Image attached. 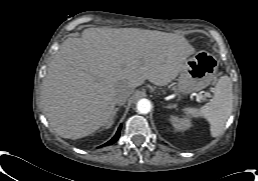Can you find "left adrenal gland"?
<instances>
[{
  "mask_svg": "<svg viewBox=\"0 0 258 181\" xmlns=\"http://www.w3.org/2000/svg\"><path fill=\"white\" fill-rule=\"evenodd\" d=\"M175 106L174 105H168V106H166L165 108H174Z\"/></svg>",
  "mask_w": 258,
  "mask_h": 181,
  "instance_id": "1",
  "label": "left adrenal gland"
}]
</instances>
